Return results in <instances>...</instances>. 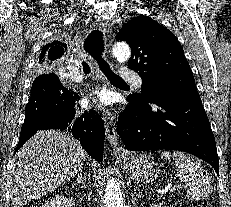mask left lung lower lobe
Wrapping results in <instances>:
<instances>
[{
    "label": "left lung lower lobe",
    "instance_id": "left-lung-lower-lobe-1",
    "mask_svg": "<svg viewBox=\"0 0 231 207\" xmlns=\"http://www.w3.org/2000/svg\"><path fill=\"white\" fill-rule=\"evenodd\" d=\"M127 100L117 124L127 150L185 151L211 164L219 175L215 138L199 95L146 103Z\"/></svg>",
    "mask_w": 231,
    "mask_h": 207
}]
</instances>
